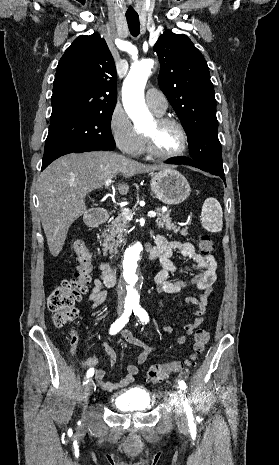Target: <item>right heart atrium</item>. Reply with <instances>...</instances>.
<instances>
[{
	"instance_id": "1",
	"label": "right heart atrium",
	"mask_w": 279,
	"mask_h": 465,
	"mask_svg": "<svg viewBox=\"0 0 279 465\" xmlns=\"http://www.w3.org/2000/svg\"><path fill=\"white\" fill-rule=\"evenodd\" d=\"M111 137L120 151L135 154L139 145V134L133 127L131 120L120 106H116L109 118Z\"/></svg>"
}]
</instances>
